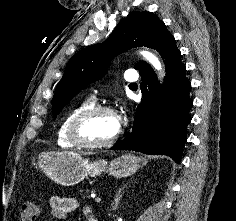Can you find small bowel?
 Masks as SVG:
<instances>
[{"mask_svg": "<svg viewBox=\"0 0 236 221\" xmlns=\"http://www.w3.org/2000/svg\"><path fill=\"white\" fill-rule=\"evenodd\" d=\"M79 207L77 199L73 197L54 196L50 199V214L53 218L64 220L68 214L74 212ZM85 214L90 217L92 210L85 208Z\"/></svg>", "mask_w": 236, "mask_h": 221, "instance_id": "c3829d8e", "label": "small bowel"}]
</instances>
